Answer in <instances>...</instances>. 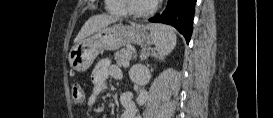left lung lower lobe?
Segmentation results:
<instances>
[{
	"label": "left lung lower lobe",
	"mask_w": 273,
	"mask_h": 118,
	"mask_svg": "<svg viewBox=\"0 0 273 118\" xmlns=\"http://www.w3.org/2000/svg\"><path fill=\"white\" fill-rule=\"evenodd\" d=\"M195 4L196 0H168L164 12L149 19V21L175 27L189 43L193 28Z\"/></svg>",
	"instance_id": "left-lung-lower-lobe-1"
}]
</instances>
